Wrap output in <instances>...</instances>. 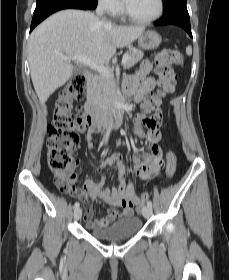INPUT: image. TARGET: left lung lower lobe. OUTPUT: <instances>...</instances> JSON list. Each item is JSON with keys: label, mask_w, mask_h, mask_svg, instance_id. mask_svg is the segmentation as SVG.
Masks as SVG:
<instances>
[{"label": "left lung lower lobe", "mask_w": 229, "mask_h": 280, "mask_svg": "<svg viewBox=\"0 0 229 280\" xmlns=\"http://www.w3.org/2000/svg\"><path fill=\"white\" fill-rule=\"evenodd\" d=\"M155 25H177L182 27L192 37L189 14L184 2H177L173 8L164 12L163 17L156 21Z\"/></svg>", "instance_id": "1"}]
</instances>
